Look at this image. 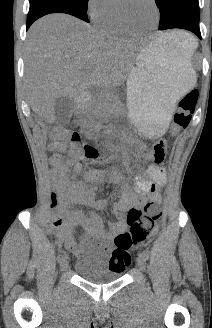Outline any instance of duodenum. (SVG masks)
Returning <instances> with one entry per match:
<instances>
[{"label":"duodenum","mask_w":212,"mask_h":328,"mask_svg":"<svg viewBox=\"0 0 212 328\" xmlns=\"http://www.w3.org/2000/svg\"><path fill=\"white\" fill-rule=\"evenodd\" d=\"M88 99V96L87 95H84L81 99H79L76 104H75V107H74V113L75 114H78L80 113L82 107H83V104L84 102Z\"/></svg>","instance_id":"obj_1"}]
</instances>
